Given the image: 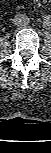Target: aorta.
<instances>
[{
    "mask_svg": "<svg viewBox=\"0 0 51 153\" xmlns=\"http://www.w3.org/2000/svg\"><path fill=\"white\" fill-rule=\"evenodd\" d=\"M42 28L45 30L51 29V16L50 15H45L43 17Z\"/></svg>",
    "mask_w": 51,
    "mask_h": 153,
    "instance_id": "obj_1",
    "label": "aorta"
}]
</instances>
